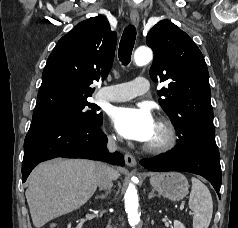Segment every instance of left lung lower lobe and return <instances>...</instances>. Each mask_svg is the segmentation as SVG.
Segmentation results:
<instances>
[{"label": "left lung lower lobe", "mask_w": 238, "mask_h": 228, "mask_svg": "<svg viewBox=\"0 0 238 228\" xmlns=\"http://www.w3.org/2000/svg\"><path fill=\"white\" fill-rule=\"evenodd\" d=\"M141 164L150 171H186L201 175L213 185L220 198L221 166L215 136L197 140L189 148L178 144L173 151L143 159Z\"/></svg>", "instance_id": "left-lung-lower-lobe-1"}]
</instances>
